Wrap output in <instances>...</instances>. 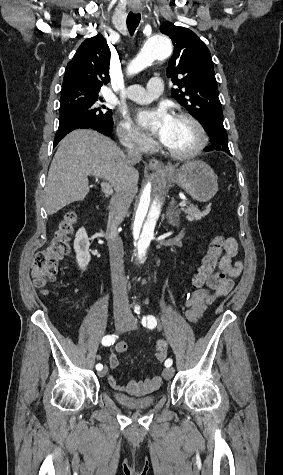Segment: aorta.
<instances>
[{
    "instance_id": "1",
    "label": "aorta",
    "mask_w": 283,
    "mask_h": 475,
    "mask_svg": "<svg viewBox=\"0 0 283 475\" xmlns=\"http://www.w3.org/2000/svg\"><path fill=\"white\" fill-rule=\"evenodd\" d=\"M172 50V43L168 37L152 36L129 64L128 74H137L155 60L168 58ZM170 187V177L164 170H159L148 179L139 196L130 225V237L136 259L140 264L144 263L151 241L154 239Z\"/></svg>"
}]
</instances>
